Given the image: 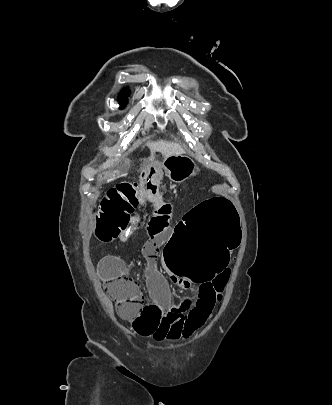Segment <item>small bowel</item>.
<instances>
[{
  "label": "small bowel",
  "instance_id": "1",
  "mask_svg": "<svg viewBox=\"0 0 332 405\" xmlns=\"http://www.w3.org/2000/svg\"><path fill=\"white\" fill-rule=\"evenodd\" d=\"M115 176V168H106L105 172H93L92 178L97 186H110V177ZM163 176L162 166L155 160L151 164H145L140 171L138 207L143 209L148 203L153 206L147 226L148 239L142 249L147 258L146 282L150 301L142 302L143 311H137V317L132 322L133 330L139 336L158 342L176 341L191 336L205 323L214 306L211 281H204L193 295L175 304L168 280L157 270V252L167 240H171L173 233L170 226L173 207L160 197L159 182ZM138 221L139 218H135L132 225ZM130 236L131 232L127 229L120 239L127 241ZM97 271L107 281L125 273L126 265L118 255L110 254L99 261ZM173 279L176 286L183 291L191 286V281H182V277L176 276Z\"/></svg>",
  "mask_w": 332,
  "mask_h": 405
}]
</instances>
